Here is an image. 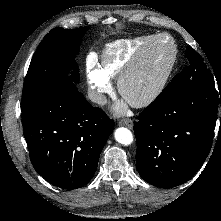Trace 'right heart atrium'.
Masks as SVG:
<instances>
[{
    "instance_id": "d8ad5b80",
    "label": "right heart atrium",
    "mask_w": 221,
    "mask_h": 221,
    "mask_svg": "<svg viewBox=\"0 0 221 221\" xmlns=\"http://www.w3.org/2000/svg\"><path fill=\"white\" fill-rule=\"evenodd\" d=\"M87 83L92 100L102 105L105 103L106 95L112 92L110 79L96 66L93 58H89L86 65Z\"/></svg>"
}]
</instances>
